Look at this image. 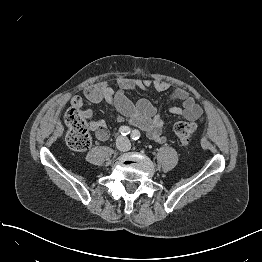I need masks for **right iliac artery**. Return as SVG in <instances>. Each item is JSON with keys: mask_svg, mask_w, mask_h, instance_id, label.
<instances>
[{"mask_svg": "<svg viewBox=\"0 0 262 262\" xmlns=\"http://www.w3.org/2000/svg\"><path fill=\"white\" fill-rule=\"evenodd\" d=\"M119 132L123 135L126 136L128 134H130L131 129L128 126H122L119 128Z\"/></svg>", "mask_w": 262, "mask_h": 262, "instance_id": "82829eb1", "label": "right iliac artery"}]
</instances>
